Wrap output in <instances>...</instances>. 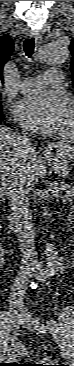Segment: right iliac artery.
<instances>
[{"mask_svg":"<svg viewBox=\"0 0 74 366\" xmlns=\"http://www.w3.org/2000/svg\"><path fill=\"white\" fill-rule=\"evenodd\" d=\"M9 355H16V350H15V348H13L12 350H11V352H10V354Z\"/></svg>","mask_w":74,"mask_h":366,"instance_id":"obj_1","label":"right iliac artery"}]
</instances>
